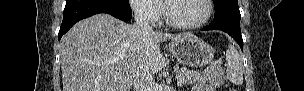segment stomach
<instances>
[{"mask_svg": "<svg viewBox=\"0 0 304 91\" xmlns=\"http://www.w3.org/2000/svg\"><path fill=\"white\" fill-rule=\"evenodd\" d=\"M169 51L180 63L191 67H202L212 61L215 50L196 36L173 40Z\"/></svg>", "mask_w": 304, "mask_h": 91, "instance_id": "stomach-1", "label": "stomach"}]
</instances>
